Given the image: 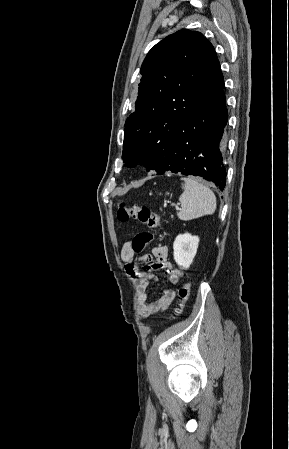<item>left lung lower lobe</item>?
Instances as JSON below:
<instances>
[{"label":"left lung lower lobe","mask_w":289,"mask_h":449,"mask_svg":"<svg viewBox=\"0 0 289 449\" xmlns=\"http://www.w3.org/2000/svg\"><path fill=\"white\" fill-rule=\"evenodd\" d=\"M227 121L224 78L216 58L191 110L174 128L167 155L156 169L158 175L171 171L199 176L223 190L226 185L223 153Z\"/></svg>","instance_id":"0a47b994"}]
</instances>
